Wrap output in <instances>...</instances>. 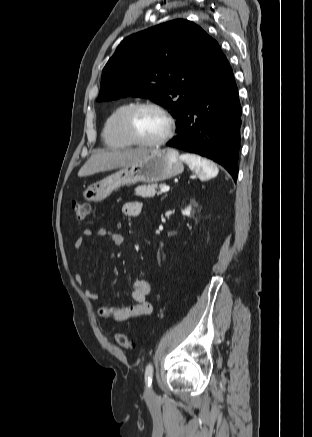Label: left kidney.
Listing matches in <instances>:
<instances>
[{
	"label": "left kidney",
	"instance_id": "obj_1",
	"mask_svg": "<svg viewBox=\"0 0 312 437\" xmlns=\"http://www.w3.org/2000/svg\"><path fill=\"white\" fill-rule=\"evenodd\" d=\"M183 214L190 216L191 214V206L186 207L183 211Z\"/></svg>",
	"mask_w": 312,
	"mask_h": 437
}]
</instances>
